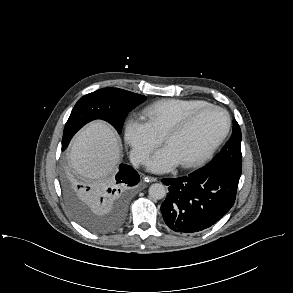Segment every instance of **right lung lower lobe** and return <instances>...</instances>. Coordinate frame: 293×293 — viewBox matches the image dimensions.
<instances>
[{
    "mask_svg": "<svg viewBox=\"0 0 293 293\" xmlns=\"http://www.w3.org/2000/svg\"><path fill=\"white\" fill-rule=\"evenodd\" d=\"M140 178L129 165L121 164L115 178L97 186L81 185V196L84 203L98 214H107L118 223L107 232L116 230L124 221L127 211V190L135 186Z\"/></svg>",
    "mask_w": 293,
    "mask_h": 293,
    "instance_id": "right-lung-lower-lobe-1",
    "label": "right lung lower lobe"
}]
</instances>
